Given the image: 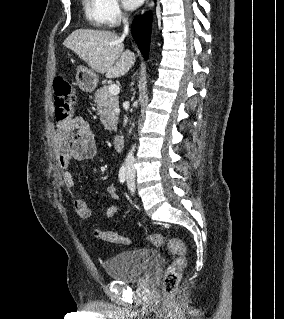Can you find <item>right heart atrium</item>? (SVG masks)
Here are the masks:
<instances>
[{
  "mask_svg": "<svg viewBox=\"0 0 284 319\" xmlns=\"http://www.w3.org/2000/svg\"><path fill=\"white\" fill-rule=\"evenodd\" d=\"M103 11L109 26L119 24L125 17V12L118 0H103Z\"/></svg>",
  "mask_w": 284,
  "mask_h": 319,
  "instance_id": "d8ad5b80",
  "label": "right heart atrium"
}]
</instances>
